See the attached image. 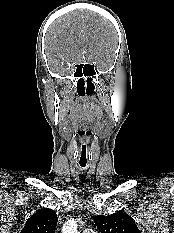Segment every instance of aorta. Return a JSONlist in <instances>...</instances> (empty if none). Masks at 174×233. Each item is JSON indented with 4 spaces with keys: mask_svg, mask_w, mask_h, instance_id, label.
Here are the masks:
<instances>
[{
    "mask_svg": "<svg viewBox=\"0 0 174 233\" xmlns=\"http://www.w3.org/2000/svg\"><path fill=\"white\" fill-rule=\"evenodd\" d=\"M62 233H78L77 222L74 218H70L63 224Z\"/></svg>",
    "mask_w": 174,
    "mask_h": 233,
    "instance_id": "1",
    "label": "aorta"
}]
</instances>
